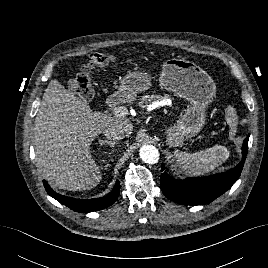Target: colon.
Masks as SVG:
<instances>
[{
	"label": "colon",
	"mask_w": 268,
	"mask_h": 268,
	"mask_svg": "<svg viewBox=\"0 0 268 268\" xmlns=\"http://www.w3.org/2000/svg\"><path fill=\"white\" fill-rule=\"evenodd\" d=\"M115 57L105 52L91 53L77 75L68 82L69 88L80 98L91 99L94 96V86L89 73L110 65Z\"/></svg>",
	"instance_id": "1"
}]
</instances>
